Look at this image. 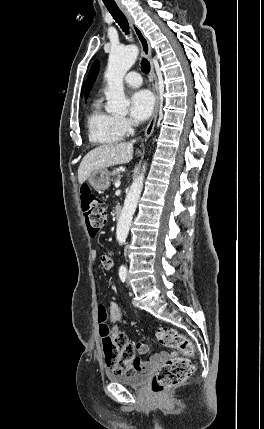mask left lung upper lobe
<instances>
[{"label": "left lung upper lobe", "instance_id": "left-lung-upper-lobe-1", "mask_svg": "<svg viewBox=\"0 0 264 429\" xmlns=\"http://www.w3.org/2000/svg\"><path fill=\"white\" fill-rule=\"evenodd\" d=\"M98 70H99V62L95 61L90 69V72L87 78L85 98L88 97V94L95 82Z\"/></svg>", "mask_w": 264, "mask_h": 429}]
</instances>
